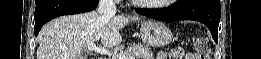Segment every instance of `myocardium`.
Returning a JSON list of instances; mask_svg holds the SVG:
<instances>
[{
    "label": "myocardium",
    "instance_id": "obj_1",
    "mask_svg": "<svg viewBox=\"0 0 261 59\" xmlns=\"http://www.w3.org/2000/svg\"><path fill=\"white\" fill-rule=\"evenodd\" d=\"M140 7H147V8H160L165 5V3L171 2V0H165L161 4H150V3H141L138 1H135Z\"/></svg>",
    "mask_w": 261,
    "mask_h": 59
}]
</instances>
